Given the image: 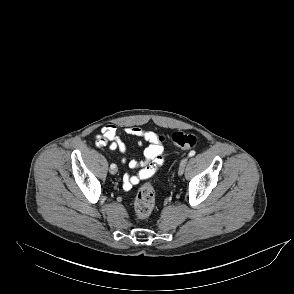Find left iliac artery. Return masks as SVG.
Masks as SVG:
<instances>
[{
    "mask_svg": "<svg viewBox=\"0 0 294 294\" xmlns=\"http://www.w3.org/2000/svg\"><path fill=\"white\" fill-rule=\"evenodd\" d=\"M195 153H196V152H195L194 150L190 151L189 154H188V157H192V156H194Z\"/></svg>",
    "mask_w": 294,
    "mask_h": 294,
    "instance_id": "left-iliac-artery-1",
    "label": "left iliac artery"
}]
</instances>
